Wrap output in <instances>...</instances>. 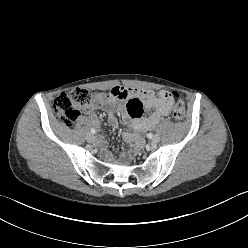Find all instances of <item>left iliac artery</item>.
Wrapping results in <instances>:
<instances>
[{"label": "left iliac artery", "mask_w": 248, "mask_h": 248, "mask_svg": "<svg viewBox=\"0 0 248 248\" xmlns=\"http://www.w3.org/2000/svg\"><path fill=\"white\" fill-rule=\"evenodd\" d=\"M148 138H152L153 137V133H148Z\"/></svg>", "instance_id": "44dca946"}]
</instances>
